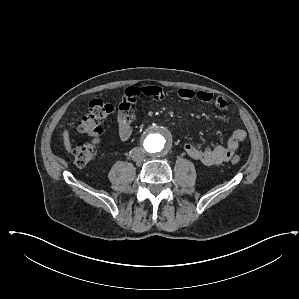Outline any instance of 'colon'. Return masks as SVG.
<instances>
[{
  "instance_id": "5ec220e1",
  "label": "colon",
  "mask_w": 299,
  "mask_h": 299,
  "mask_svg": "<svg viewBox=\"0 0 299 299\" xmlns=\"http://www.w3.org/2000/svg\"><path fill=\"white\" fill-rule=\"evenodd\" d=\"M113 110V107L102 100H93L88 111L79 119L78 130L88 137L86 142L74 149V162L78 167H84L94 160L102 135V120ZM231 162H240L238 155L231 157Z\"/></svg>"
}]
</instances>
